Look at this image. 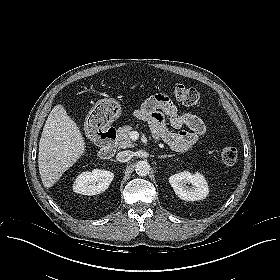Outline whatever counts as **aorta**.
<instances>
[{
    "instance_id": "aorta-1",
    "label": "aorta",
    "mask_w": 280,
    "mask_h": 280,
    "mask_svg": "<svg viewBox=\"0 0 280 280\" xmlns=\"http://www.w3.org/2000/svg\"><path fill=\"white\" fill-rule=\"evenodd\" d=\"M136 173L139 176H147L150 172V164L147 161H139L136 164Z\"/></svg>"
}]
</instances>
